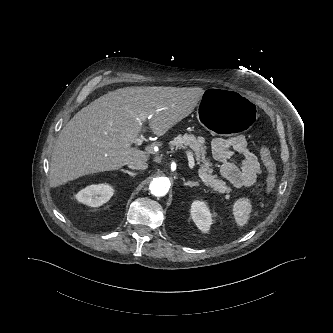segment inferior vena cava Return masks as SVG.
<instances>
[{
    "label": "inferior vena cava",
    "mask_w": 333,
    "mask_h": 333,
    "mask_svg": "<svg viewBox=\"0 0 333 333\" xmlns=\"http://www.w3.org/2000/svg\"><path fill=\"white\" fill-rule=\"evenodd\" d=\"M128 167L136 170H145L148 167V164L142 160H133L128 163Z\"/></svg>",
    "instance_id": "obj_1"
}]
</instances>
